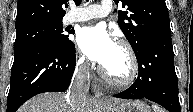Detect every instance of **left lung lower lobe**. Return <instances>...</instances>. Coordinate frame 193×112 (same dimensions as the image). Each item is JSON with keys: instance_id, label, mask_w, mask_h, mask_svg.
Returning a JSON list of instances; mask_svg holds the SVG:
<instances>
[{"instance_id": "left-lung-lower-lobe-1", "label": "left lung lower lobe", "mask_w": 193, "mask_h": 112, "mask_svg": "<svg viewBox=\"0 0 193 112\" xmlns=\"http://www.w3.org/2000/svg\"><path fill=\"white\" fill-rule=\"evenodd\" d=\"M135 55L139 67L138 78L127 90L115 94L114 97L147 98L170 112H180L171 33H164L149 40Z\"/></svg>"}]
</instances>
